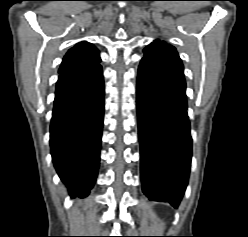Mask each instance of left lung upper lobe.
Returning <instances> with one entry per match:
<instances>
[{"instance_id": "left-lung-upper-lobe-1", "label": "left lung upper lobe", "mask_w": 248, "mask_h": 237, "mask_svg": "<svg viewBox=\"0 0 248 237\" xmlns=\"http://www.w3.org/2000/svg\"><path fill=\"white\" fill-rule=\"evenodd\" d=\"M145 60L156 64L167 73L184 79L183 65L176 49L164 41L155 40L144 50Z\"/></svg>"}]
</instances>
